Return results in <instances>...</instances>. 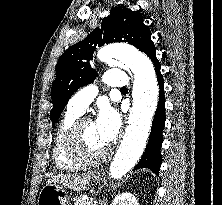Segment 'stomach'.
Returning a JSON list of instances; mask_svg holds the SVG:
<instances>
[{
	"instance_id": "1",
	"label": "stomach",
	"mask_w": 222,
	"mask_h": 205,
	"mask_svg": "<svg viewBox=\"0 0 222 205\" xmlns=\"http://www.w3.org/2000/svg\"><path fill=\"white\" fill-rule=\"evenodd\" d=\"M93 180L98 182L99 175H93ZM69 197L64 187L57 184H46L39 193L38 205H68Z\"/></svg>"
}]
</instances>
